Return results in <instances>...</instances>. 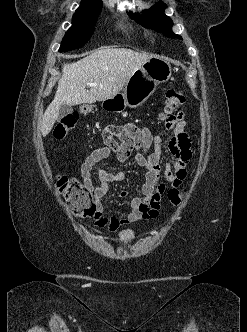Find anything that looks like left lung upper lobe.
Segmentation results:
<instances>
[{"label":"left lung upper lobe","mask_w":247,"mask_h":332,"mask_svg":"<svg viewBox=\"0 0 247 332\" xmlns=\"http://www.w3.org/2000/svg\"><path fill=\"white\" fill-rule=\"evenodd\" d=\"M165 4L158 2L153 8L145 10L142 15L129 13L132 19L142 24L146 28L153 29L157 32L163 33L169 38H179L181 36L174 34L171 30L173 25L172 20L164 14Z\"/></svg>","instance_id":"left-lung-upper-lobe-1"}]
</instances>
